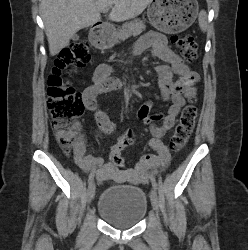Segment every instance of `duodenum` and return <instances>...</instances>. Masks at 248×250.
Masks as SVG:
<instances>
[{"mask_svg":"<svg viewBox=\"0 0 248 250\" xmlns=\"http://www.w3.org/2000/svg\"><path fill=\"white\" fill-rule=\"evenodd\" d=\"M106 26L105 23L101 22V23H97L93 26L92 28V35L91 37L95 40L101 39V35L99 34V32Z\"/></svg>","mask_w":248,"mask_h":250,"instance_id":"410a0bca","label":"duodenum"}]
</instances>
